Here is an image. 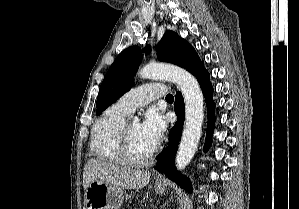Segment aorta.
I'll return each mask as SVG.
<instances>
[{
    "label": "aorta",
    "mask_w": 299,
    "mask_h": 209,
    "mask_svg": "<svg viewBox=\"0 0 299 209\" xmlns=\"http://www.w3.org/2000/svg\"><path fill=\"white\" fill-rule=\"evenodd\" d=\"M145 79H164L176 83L184 97L185 127L176 154V168L180 171L191 162L202 133L204 99L197 79L188 71L168 64L149 63L139 70ZM137 117L134 118L136 122Z\"/></svg>",
    "instance_id": "obj_1"
}]
</instances>
